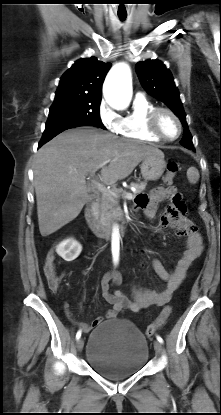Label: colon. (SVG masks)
<instances>
[{
  "mask_svg": "<svg viewBox=\"0 0 221 415\" xmlns=\"http://www.w3.org/2000/svg\"><path fill=\"white\" fill-rule=\"evenodd\" d=\"M178 169H179V165L176 162H169L167 164L166 173L163 178L164 183L166 185L170 186L173 183V180L178 172ZM54 261H55V254H54L53 249H51L46 256L44 273H45L50 289L53 291H56L59 288L61 277L57 274L55 270ZM171 313H172V307L166 306L162 310V312L160 313L156 321L147 327L146 334L148 336H151L158 329L162 328L165 325Z\"/></svg>",
  "mask_w": 221,
  "mask_h": 415,
  "instance_id": "1",
  "label": "colon"
}]
</instances>
